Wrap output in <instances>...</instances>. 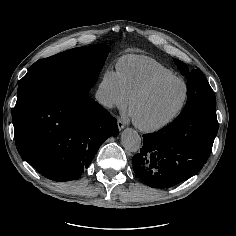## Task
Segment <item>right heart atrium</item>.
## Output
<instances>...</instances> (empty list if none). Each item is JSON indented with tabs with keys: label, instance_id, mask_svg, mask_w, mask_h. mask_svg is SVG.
Masks as SVG:
<instances>
[{
	"label": "right heart atrium",
	"instance_id": "right-heart-atrium-1",
	"mask_svg": "<svg viewBox=\"0 0 236 236\" xmlns=\"http://www.w3.org/2000/svg\"><path fill=\"white\" fill-rule=\"evenodd\" d=\"M96 98L103 107L109 110L124 109L128 105L130 96L117 70L107 68L103 72L97 87Z\"/></svg>",
	"mask_w": 236,
	"mask_h": 236
}]
</instances>
